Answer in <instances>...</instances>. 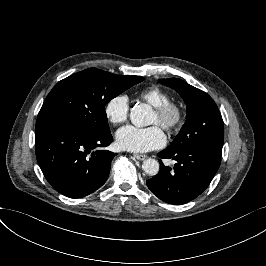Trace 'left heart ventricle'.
<instances>
[{"label":"left heart ventricle","mask_w":266,"mask_h":266,"mask_svg":"<svg viewBox=\"0 0 266 266\" xmlns=\"http://www.w3.org/2000/svg\"><path fill=\"white\" fill-rule=\"evenodd\" d=\"M151 123H158V124H160V118L158 117V115L155 112L152 115Z\"/></svg>","instance_id":"obj_1"}]
</instances>
